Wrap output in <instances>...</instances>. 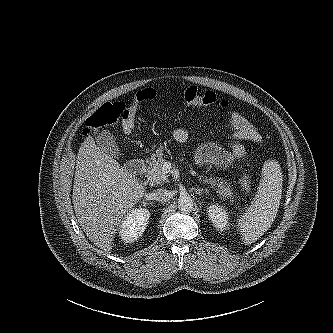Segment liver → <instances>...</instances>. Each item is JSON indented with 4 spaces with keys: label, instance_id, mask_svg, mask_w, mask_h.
Masks as SVG:
<instances>
[{
    "label": "liver",
    "instance_id": "liver-1",
    "mask_svg": "<svg viewBox=\"0 0 333 333\" xmlns=\"http://www.w3.org/2000/svg\"><path fill=\"white\" fill-rule=\"evenodd\" d=\"M146 192L145 184L88 137L77 154L72 202L78 222L104 253L117 226Z\"/></svg>",
    "mask_w": 333,
    "mask_h": 333
}]
</instances>
